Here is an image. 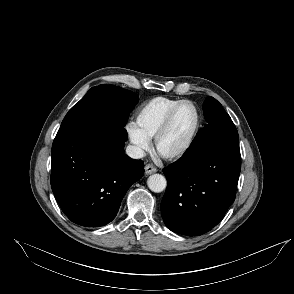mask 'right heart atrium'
Instances as JSON below:
<instances>
[{
  "mask_svg": "<svg viewBox=\"0 0 294 294\" xmlns=\"http://www.w3.org/2000/svg\"><path fill=\"white\" fill-rule=\"evenodd\" d=\"M127 133L130 141L135 145L136 149L139 152H144L149 148L150 142L137 126L133 123L127 125Z\"/></svg>",
  "mask_w": 294,
  "mask_h": 294,
  "instance_id": "d8ad5b80",
  "label": "right heart atrium"
}]
</instances>
